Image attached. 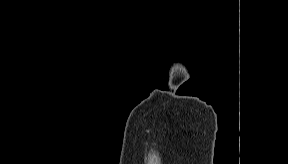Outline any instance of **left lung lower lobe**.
I'll use <instances>...</instances> for the list:
<instances>
[{"label": "left lung lower lobe", "mask_w": 288, "mask_h": 164, "mask_svg": "<svg viewBox=\"0 0 288 164\" xmlns=\"http://www.w3.org/2000/svg\"><path fill=\"white\" fill-rule=\"evenodd\" d=\"M199 77L200 85L197 96L209 102L215 98L216 88L224 89L232 82L233 73L228 69H222L218 72H203L199 74ZM213 82H215V86L211 87Z\"/></svg>", "instance_id": "0a47b994"}]
</instances>
